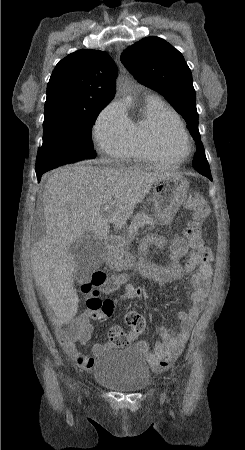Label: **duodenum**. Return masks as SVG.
<instances>
[{
    "label": "duodenum",
    "mask_w": 245,
    "mask_h": 450,
    "mask_svg": "<svg viewBox=\"0 0 245 450\" xmlns=\"http://www.w3.org/2000/svg\"><path fill=\"white\" fill-rule=\"evenodd\" d=\"M105 242L110 248V256L108 257V261H115V254L118 253L123 244L122 238L119 236H110L105 238Z\"/></svg>",
    "instance_id": "410a0bca"
}]
</instances>
